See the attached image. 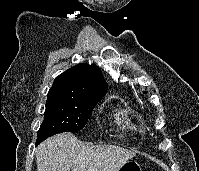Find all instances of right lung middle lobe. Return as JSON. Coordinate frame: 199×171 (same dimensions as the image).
<instances>
[{"label": "right lung middle lobe", "instance_id": "right-lung-middle-lobe-1", "mask_svg": "<svg viewBox=\"0 0 199 171\" xmlns=\"http://www.w3.org/2000/svg\"><path fill=\"white\" fill-rule=\"evenodd\" d=\"M101 99L76 101L48 95L45 118L37 132V140L67 131L78 132L86 125L92 109Z\"/></svg>", "mask_w": 199, "mask_h": 171}]
</instances>
